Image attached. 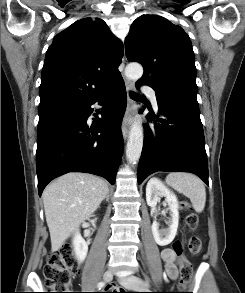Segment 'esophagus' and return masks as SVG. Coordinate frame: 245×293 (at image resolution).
<instances>
[{"label": "esophagus", "instance_id": "1", "mask_svg": "<svg viewBox=\"0 0 245 293\" xmlns=\"http://www.w3.org/2000/svg\"><path fill=\"white\" fill-rule=\"evenodd\" d=\"M124 61L125 60L123 59L122 64H121V66H122L121 72H122L123 77H124V73H123ZM124 80H125V85H126L127 92L129 93L130 91L133 90L134 83L132 81L126 79L125 77H124ZM131 105H132V101L128 96L127 109H126L124 122H123V126H122V135H123L124 140L127 139L128 134H129V119H130V117L132 115Z\"/></svg>", "mask_w": 245, "mask_h": 293}]
</instances>
